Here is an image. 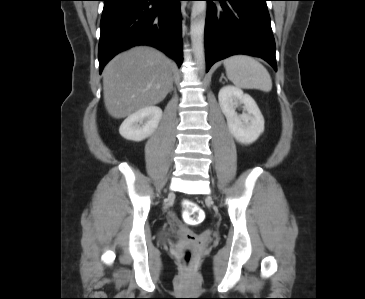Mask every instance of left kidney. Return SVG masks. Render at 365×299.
Here are the masks:
<instances>
[{"instance_id":"obj_1","label":"left kidney","mask_w":365,"mask_h":299,"mask_svg":"<svg viewBox=\"0 0 365 299\" xmlns=\"http://www.w3.org/2000/svg\"><path fill=\"white\" fill-rule=\"evenodd\" d=\"M218 100L234 138L243 144L255 142L264 131V118L254 99L233 86L220 89ZM243 105L239 115L236 109Z\"/></svg>"}]
</instances>
